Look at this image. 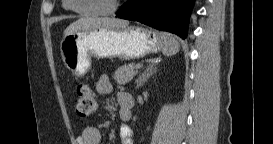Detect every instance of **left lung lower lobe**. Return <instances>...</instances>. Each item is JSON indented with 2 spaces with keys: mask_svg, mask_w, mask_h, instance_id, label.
Returning a JSON list of instances; mask_svg holds the SVG:
<instances>
[{
  "mask_svg": "<svg viewBox=\"0 0 273 144\" xmlns=\"http://www.w3.org/2000/svg\"><path fill=\"white\" fill-rule=\"evenodd\" d=\"M195 0H127L117 17L139 21L159 30L187 37L189 18Z\"/></svg>",
  "mask_w": 273,
  "mask_h": 144,
  "instance_id": "0a47b994",
  "label": "left lung lower lobe"
}]
</instances>
